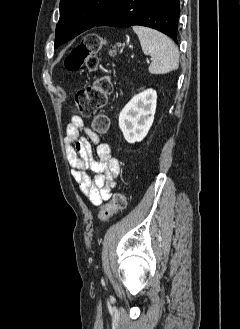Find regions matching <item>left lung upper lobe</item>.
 I'll return each mask as SVG.
<instances>
[{
	"label": "left lung upper lobe",
	"instance_id": "1",
	"mask_svg": "<svg viewBox=\"0 0 240 329\" xmlns=\"http://www.w3.org/2000/svg\"><path fill=\"white\" fill-rule=\"evenodd\" d=\"M119 0H61L54 47L94 27Z\"/></svg>",
	"mask_w": 240,
	"mask_h": 329
}]
</instances>
